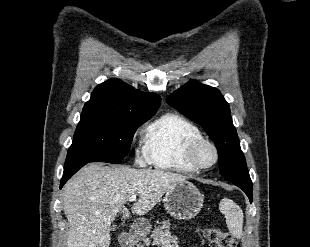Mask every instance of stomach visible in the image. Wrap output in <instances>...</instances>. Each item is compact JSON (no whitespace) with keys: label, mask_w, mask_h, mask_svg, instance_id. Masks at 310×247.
<instances>
[{"label":"stomach","mask_w":310,"mask_h":247,"mask_svg":"<svg viewBox=\"0 0 310 247\" xmlns=\"http://www.w3.org/2000/svg\"><path fill=\"white\" fill-rule=\"evenodd\" d=\"M204 196L188 181L177 183L168 190L163 199V204L167 213L180 220L194 218L202 208ZM162 228H169L167 220L162 221ZM134 237H144L150 232V224L145 219L135 221L133 225Z\"/></svg>","instance_id":"0dacf381"}]
</instances>
